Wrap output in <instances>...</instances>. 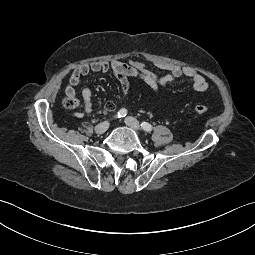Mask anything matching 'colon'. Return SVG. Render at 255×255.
Instances as JSON below:
<instances>
[{
    "label": "colon",
    "mask_w": 255,
    "mask_h": 255,
    "mask_svg": "<svg viewBox=\"0 0 255 255\" xmlns=\"http://www.w3.org/2000/svg\"><path fill=\"white\" fill-rule=\"evenodd\" d=\"M63 103H64L65 108H67L69 110L75 109L79 106V100L76 98L75 95H73V96L66 95ZM193 110L197 114L204 115L209 112V107L205 104L198 103V104L194 105Z\"/></svg>",
    "instance_id": "1"
}]
</instances>
